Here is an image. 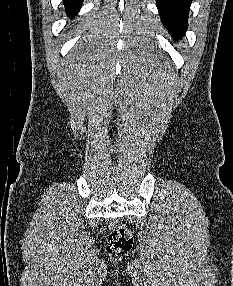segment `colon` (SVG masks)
<instances>
[{"mask_svg": "<svg viewBox=\"0 0 233 286\" xmlns=\"http://www.w3.org/2000/svg\"><path fill=\"white\" fill-rule=\"evenodd\" d=\"M110 233L106 240V249L111 254H121L132 245L131 233L119 222L113 221L109 225Z\"/></svg>", "mask_w": 233, "mask_h": 286, "instance_id": "5ec220e1", "label": "colon"}]
</instances>
